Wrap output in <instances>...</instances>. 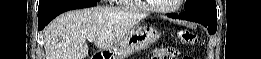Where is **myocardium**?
<instances>
[{
  "instance_id": "f54148a6",
  "label": "myocardium",
  "mask_w": 261,
  "mask_h": 59,
  "mask_svg": "<svg viewBox=\"0 0 261 59\" xmlns=\"http://www.w3.org/2000/svg\"><path fill=\"white\" fill-rule=\"evenodd\" d=\"M182 2H183V0H177V3L174 6L169 7V8L155 6L151 1H144V5L150 11H153L156 13H161V14H166V13H171V12L178 10L180 8Z\"/></svg>"
}]
</instances>
